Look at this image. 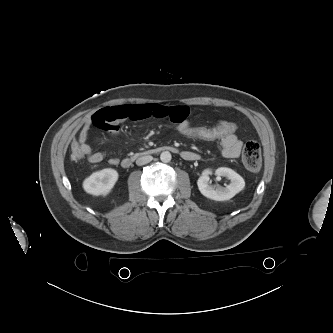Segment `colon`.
Instances as JSON below:
<instances>
[{"label":"colon","mask_w":333,"mask_h":333,"mask_svg":"<svg viewBox=\"0 0 333 333\" xmlns=\"http://www.w3.org/2000/svg\"><path fill=\"white\" fill-rule=\"evenodd\" d=\"M179 135L201 141H219L224 137L236 132V125L231 122L222 121L210 127H176ZM70 157L78 161L84 157L80 144L73 141L70 145ZM242 162L250 171H258L261 167V148L258 142L248 141L243 148Z\"/></svg>","instance_id":"5ec220e1"}]
</instances>
